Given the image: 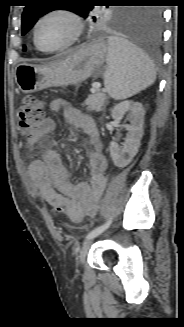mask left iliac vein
I'll return each mask as SVG.
<instances>
[{
    "mask_svg": "<svg viewBox=\"0 0 184 327\" xmlns=\"http://www.w3.org/2000/svg\"><path fill=\"white\" fill-rule=\"evenodd\" d=\"M94 241V237L91 239L86 240V242L83 244L80 253H79V261L81 264L85 262L86 256L88 254V251Z\"/></svg>",
    "mask_w": 184,
    "mask_h": 327,
    "instance_id": "4c4485c4",
    "label": "left iliac vein"
}]
</instances>
